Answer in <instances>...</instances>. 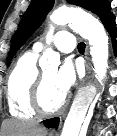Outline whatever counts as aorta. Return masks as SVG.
<instances>
[{"label":"aorta","instance_id":"obj_1","mask_svg":"<svg viewBox=\"0 0 117 136\" xmlns=\"http://www.w3.org/2000/svg\"><path fill=\"white\" fill-rule=\"evenodd\" d=\"M53 24L68 23L90 44V55L94 65L95 77L102 83L108 68V35L102 23L96 18L75 8H58L50 16ZM53 35V27L47 34V43ZM60 64L59 54L47 48L40 58V66L57 68ZM98 98L94 87L81 89L75 97L68 116L64 122L61 136H80L90 106Z\"/></svg>","mask_w":117,"mask_h":136}]
</instances>
